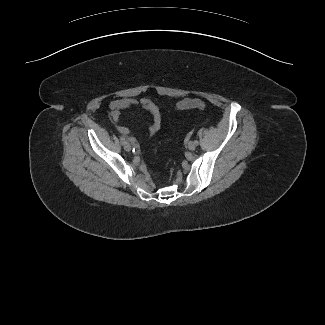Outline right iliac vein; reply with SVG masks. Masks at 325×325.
I'll return each instance as SVG.
<instances>
[{
    "instance_id": "63e3f726",
    "label": "right iliac vein",
    "mask_w": 325,
    "mask_h": 325,
    "mask_svg": "<svg viewBox=\"0 0 325 325\" xmlns=\"http://www.w3.org/2000/svg\"><path fill=\"white\" fill-rule=\"evenodd\" d=\"M123 146H124V149H125L126 151H130V150H131V145H130L127 141H125V142L123 143Z\"/></svg>"
}]
</instances>
